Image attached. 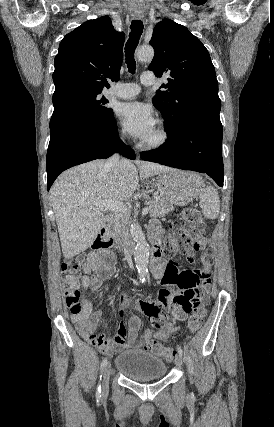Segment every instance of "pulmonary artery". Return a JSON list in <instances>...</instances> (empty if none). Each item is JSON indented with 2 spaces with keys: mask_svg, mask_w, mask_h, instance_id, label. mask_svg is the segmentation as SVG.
Returning <instances> with one entry per match:
<instances>
[{
  "mask_svg": "<svg viewBox=\"0 0 274 427\" xmlns=\"http://www.w3.org/2000/svg\"><path fill=\"white\" fill-rule=\"evenodd\" d=\"M140 81H141V84L145 86H150L154 84V81L152 80V78L150 77L147 78L145 73L142 74ZM140 91H141V87L139 84L121 83V84L115 85L111 89V94L112 96L118 97V98H131L138 95Z\"/></svg>",
  "mask_w": 274,
  "mask_h": 427,
  "instance_id": "obj_1",
  "label": "pulmonary artery"
}]
</instances>
